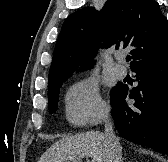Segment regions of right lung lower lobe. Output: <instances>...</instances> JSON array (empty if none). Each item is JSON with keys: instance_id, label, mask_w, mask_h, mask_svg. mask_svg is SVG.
Instances as JSON below:
<instances>
[{"instance_id": "1", "label": "right lung lower lobe", "mask_w": 168, "mask_h": 162, "mask_svg": "<svg viewBox=\"0 0 168 162\" xmlns=\"http://www.w3.org/2000/svg\"><path fill=\"white\" fill-rule=\"evenodd\" d=\"M138 86L117 85L111 100L115 127L121 137L168 153V47L131 67ZM135 103L127 104V99Z\"/></svg>"}]
</instances>
